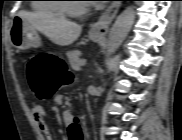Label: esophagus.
Wrapping results in <instances>:
<instances>
[{
  "instance_id": "obj_1",
  "label": "esophagus",
  "mask_w": 182,
  "mask_h": 140,
  "mask_svg": "<svg viewBox=\"0 0 182 140\" xmlns=\"http://www.w3.org/2000/svg\"><path fill=\"white\" fill-rule=\"evenodd\" d=\"M120 5V1H112L101 14L99 19L91 26L90 32L95 35H105L108 32L112 21L116 17Z\"/></svg>"
}]
</instances>
